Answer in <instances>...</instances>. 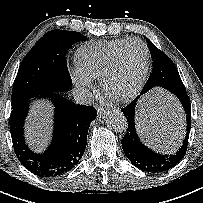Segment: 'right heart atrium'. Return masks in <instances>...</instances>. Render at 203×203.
<instances>
[{
    "mask_svg": "<svg viewBox=\"0 0 203 203\" xmlns=\"http://www.w3.org/2000/svg\"><path fill=\"white\" fill-rule=\"evenodd\" d=\"M71 76L74 84L79 88L86 90L93 88L91 78L82 73L78 68L72 70Z\"/></svg>",
    "mask_w": 203,
    "mask_h": 203,
    "instance_id": "1",
    "label": "right heart atrium"
}]
</instances>
